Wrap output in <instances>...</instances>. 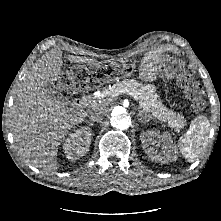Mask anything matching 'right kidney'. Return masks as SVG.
I'll return each instance as SVG.
<instances>
[{"label": "right kidney", "instance_id": "1", "mask_svg": "<svg viewBox=\"0 0 221 221\" xmlns=\"http://www.w3.org/2000/svg\"><path fill=\"white\" fill-rule=\"evenodd\" d=\"M91 144V129L82 127L70 134L63 145L64 153L70 161H75L84 156Z\"/></svg>", "mask_w": 221, "mask_h": 221}]
</instances>
